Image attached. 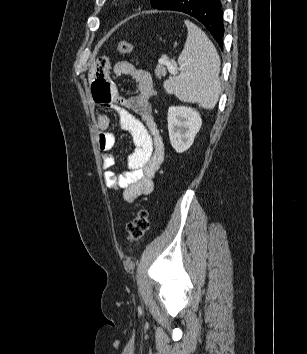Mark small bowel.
<instances>
[{
	"instance_id": "1",
	"label": "small bowel",
	"mask_w": 307,
	"mask_h": 354,
	"mask_svg": "<svg viewBox=\"0 0 307 354\" xmlns=\"http://www.w3.org/2000/svg\"><path fill=\"white\" fill-rule=\"evenodd\" d=\"M109 70L110 61L107 57L95 61L89 73L92 96L100 107L111 105L119 127L131 135L135 149L128 156L126 170L116 174L112 170L115 159L111 153L115 136L109 131L110 118L100 114L97 118L98 145L105 170L104 180L108 188L122 190L124 200L133 203L138 197L153 191L154 179L164 159V145L151 107L156 89L148 71L127 61H120L114 65V73L119 77H129L137 84V91L125 98L109 81Z\"/></svg>"
}]
</instances>
